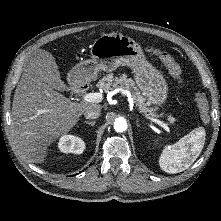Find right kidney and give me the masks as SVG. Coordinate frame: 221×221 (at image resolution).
<instances>
[{"label":"right kidney","mask_w":221,"mask_h":221,"mask_svg":"<svg viewBox=\"0 0 221 221\" xmlns=\"http://www.w3.org/2000/svg\"><path fill=\"white\" fill-rule=\"evenodd\" d=\"M63 153L82 154L85 150V142L78 136L64 135L58 143Z\"/></svg>","instance_id":"right-kidney-1"}]
</instances>
